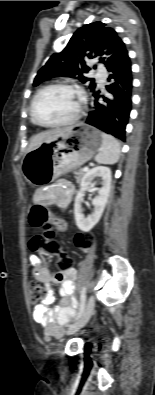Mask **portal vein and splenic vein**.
I'll return each instance as SVG.
<instances>
[{"instance_id":"obj_1","label":"portal vein and splenic vein","mask_w":155,"mask_h":395,"mask_svg":"<svg viewBox=\"0 0 155 395\" xmlns=\"http://www.w3.org/2000/svg\"><path fill=\"white\" fill-rule=\"evenodd\" d=\"M82 171H84V172L88 171V167L82 168Z\"/></svg>"}]
</instances>
